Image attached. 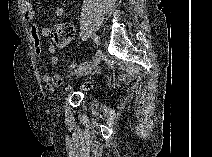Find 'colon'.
Returning <instances> with one entry per match:
<instances>
[{
  "label": "colon",
  "mask_w": 212,
  "mask_h": 157,
  "mask_svg": "<svg viewBox=\"0 0 212 157\" xmlns=\"http://www.w3.org/2000/svg\"><path fill=\"white\" fill-rule=\"evenodd\" d=\"M51 36L58 45H66L73 40L75 28L70 22H59L53 25ZM55 82L60 85L63 83V78L57 76Z\"/></svg>",
  "instance_id": "obj_1"
}]
</instances>
